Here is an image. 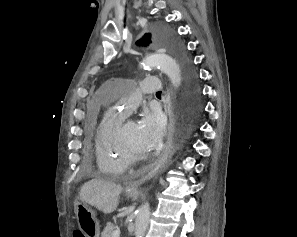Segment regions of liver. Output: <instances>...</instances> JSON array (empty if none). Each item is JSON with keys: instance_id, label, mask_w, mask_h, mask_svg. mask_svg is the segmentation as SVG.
<instances>
[{"instance_id": "liver-1", "label": "liver", "mask_w": 297, "mask_h": 237, "mask_svg": "<svg viewBox=\"0 0 297 237\" xmlns=\"http://www.w3.org/2000/svg\"><path fill=\"white\" fill-rule=\"evenodd\" d=\"M120 185L99 178L86 182L79 193L80 200L94 206L99 211L109 214L117 209Z\"/></svg>"}]
</instances>
